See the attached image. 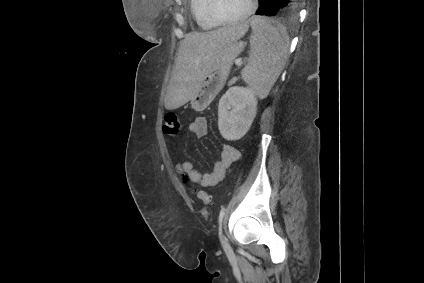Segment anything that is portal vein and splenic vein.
<instances>
[{"label": "portal vein and splenic vein", "mask_w": 424, "mask_h": 283, "mask_svg": "<svg viewBox=\"0 0 424 283\" xmlns=\"http://www.w3.org/2000/svg\"><path fill=\"white\" fill-rule=\"evenodd\" d=\"M235 64H236L238 67H241V66L243 65V62H242V60H241V59H237V60L235 61Z\"/></svg>", "instance_id": "1"}]
</instances>
